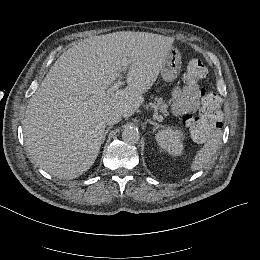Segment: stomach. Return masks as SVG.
Listing matches in <instances>:
<instances>
[{
	"label": "stomach",
	"mask_w": 260,
	"mask_h": 260,
	"mask_svg": "<svg viewBox=\"0 0 260 260\" xmlns=\"http://www.w3.org/2000/svg\"><path fill=\"white\" fill-rule=\"evenodd\" d=\"M183 60V53L179 49H172L168 53V60L165 67L160 70L161 77L165 82H173L180 73V62Z\"/></svg>",
	"instance_id": "1"
}]
</instances>
